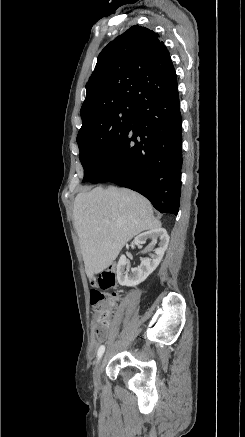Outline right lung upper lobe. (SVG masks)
<instances>
[{
  "instance_id": "cb5924a9",
  "label": "right lung upper lobe",
  "mask_w": 245,
  "mask_h": 437,
  "mask_svg": "<svg viewBox=\"0 0 245 437\" xmlns=\"http://www.w3.org/2000/svg\"><path fill=\"white\" fill-rule=\"evenodd\" d=\"M177 87L170 53L159 35L146 27L132 26L99 54L86 84L82 122L108 106L137 105Z\"/></svg>"
}]
</instances>
